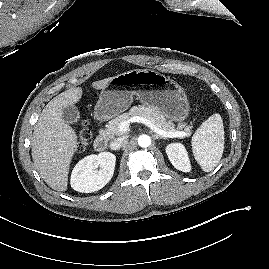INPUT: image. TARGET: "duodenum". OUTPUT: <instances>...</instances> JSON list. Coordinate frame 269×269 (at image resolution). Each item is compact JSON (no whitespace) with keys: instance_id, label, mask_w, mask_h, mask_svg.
Listing matches in <instances>:
<instances>
[{"instance_id":"1","label":"duodenum","mask_w":269,"mask_h":269,"mask_svg":"<svg viewBox=\"0 0 269 269\" xmlns=\"http://www.w3.org/2000/svg\"><path fill=\"white\" fill-rule=\"evenodd\" d=\"M107 144H108V137L105 134L104 130L100 129L99 134L94 141V149L99 152L104 151L107 147Z\"/></svg>"}]
</instances>
